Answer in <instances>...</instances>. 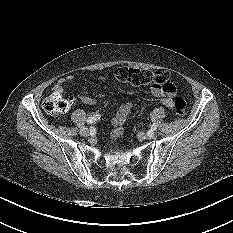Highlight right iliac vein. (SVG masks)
Wrapping results in <instances>:
<instances>
[{
	"instance_id": "obj_1",
	"label": "right iliac vein",
	"mask_w": 233,
	"mask_h": 233,
	"mask_svg": "<svg viewBox=\"0 0 233 233\" xmlns=\"http://www.w3.org/2000/svg\"><path fill=\"white\" fill-rule=\"evenodd\" d=\"M80 134H81L82 136H88V135H89V129H88L87 127H82V128L80 129Z\"/></svg>"
}]
</instances>
